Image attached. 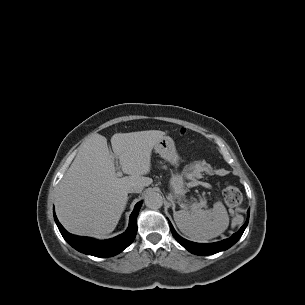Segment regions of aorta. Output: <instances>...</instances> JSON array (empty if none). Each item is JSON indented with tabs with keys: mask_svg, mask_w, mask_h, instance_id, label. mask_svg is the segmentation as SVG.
<instances>
[{
	"mask_svg": "<svg viewBox=\"0 0 305 305\" xmlns=\"http://www.w3.org/2000/svg\"><path fill=\"white\" fill-rule=\"evenodd\" d=\"M145 205L150 209H159L163 205V198L157 192H149L145 197Z\"/></svg>",
	"mask_w": 305,
	"mask_h": 305,
	"instance_id": "1",
	"label": "aorta"
}]
</instances>
